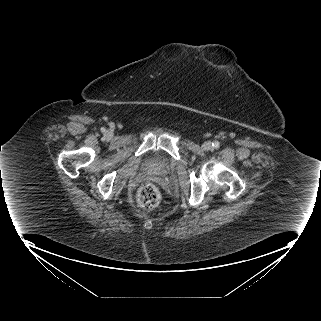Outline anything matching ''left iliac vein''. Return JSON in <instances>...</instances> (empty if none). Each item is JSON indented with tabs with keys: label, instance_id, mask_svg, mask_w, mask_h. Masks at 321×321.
I'll use <instances>...</instances> for the list:
<instances>
[{
	"label": "left iliac vein",
	"instance_id": "1",
	"mask_svg": "<svg viewBox=\"0 0 321 321\" xmlns=\"http://www.w3.org/2000/svg\"><path fill=\"white\" fill-rule=\"evenodd\" d=\"M202 147L204 150H210L212 148V144L211 142H205Z\"/></svg>",
	"mask_w": 321,
	"mask_h": 321
}]
</instances>
